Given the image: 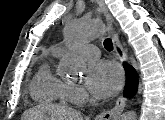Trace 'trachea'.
I'll list each match as a JSON object with an SVG mask.
<instances>
[{
    "label": "trachea",
    "mask_w": 165,
    "mask_h": 120,
    "mask_svg": "<svg viewBox=\"0 0 165 120\" xmlns=\"http://www.w3.org/2000/svg\"><path fill=\"white\" fill-rule=\"evenodd\" d=\"M104 47L107 51H112L113 50V43L110 38H107L104 40Z\"/></svg>",
    "instance_id": "3493384b"
}]
</instances>
